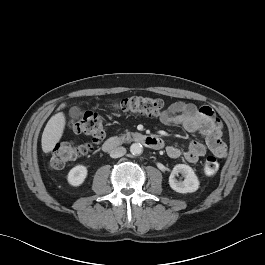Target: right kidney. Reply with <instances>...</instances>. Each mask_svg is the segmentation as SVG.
<instances>
[{
    "mask_svg": "<svg viewBox=\"0 0 265 265\" xmlns=\"http://www.w3.org/2000/svg\"><path fill=\"white\" fill-rule=\"evenodd\" d=\"M87 177V168L83 165L73 167L67 176V180L72 186H80Z\"/></svg>",
    "mask_w": 265,
    "mask_h": 265,
    "instance_id": "1",
    "label": "right kidney"
}]
</instances>
